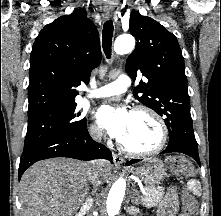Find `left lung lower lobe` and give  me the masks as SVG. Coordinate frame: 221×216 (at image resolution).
<instances>
[{"label":"left lung lower lobe","instance_id":"obj_1","mask_svg":"<svg viewBox=\"0 0 221 216\" xmlns=\"http://www.w3.org/2000/svg\"><path fill=\"white\" fill-rule=\"evenodd\" d=\"M171 152H180L186 154L192 157L200 165L198 148L190 147L185 144H179V145L167 146V148L161 153H171ZM138 161L139 160H131L130 162H127V164L129 165L131 163H136Z\"/></svg>","mask_w":221,"mask_h":216}]
</instances>
